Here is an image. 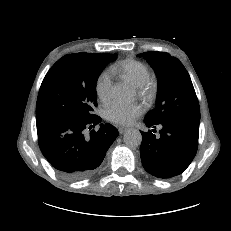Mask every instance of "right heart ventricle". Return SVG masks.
Listing matches in <instances>:
<instances>
[{
	"instance_id": "right-heart-ventricle-1",
	"label": "right heart ventricle",
	"mask_w": 231,
	"mask_h": 231,
	"mask_svg": "<svg viewBox=\"0 0 231 231\" xmlns=\"http://www.w3.org/2000/svg\"><path fill=\"white\" fill-rule=\"evenodd\" d=\"M111 71L136 87L149 73V68L144 62L129 58L114 64Z\"/></svg>"
}]
</instances>
